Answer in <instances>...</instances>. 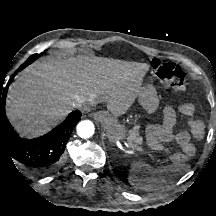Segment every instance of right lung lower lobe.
I'll return each instance as SVG.
<instances>
[{"mask_svg": "<svg viewBox=\"0 0 216 216\" xmlns=\"http://www.w3.org/2000/svg\"><path fill=\"white\" fill-rule=\"evenodd\" d=\"M17 72L10 78L9 84ZM7 90L8 87L0 91V157L19 162L35 174L52 173L61 164L66 143L81 119V112H71L60 126L41 137L22 139L5 114Z\"/></svg>", "mask_w": 216, "mask_h": 216, "instance_id": "obj_1", "label": "right lung lower lobe"}]
</instances>
